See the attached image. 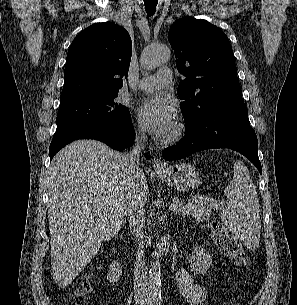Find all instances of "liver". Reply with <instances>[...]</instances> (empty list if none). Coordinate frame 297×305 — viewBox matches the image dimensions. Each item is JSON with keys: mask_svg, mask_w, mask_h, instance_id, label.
Here are the masks:
<instances>
[{"mask_svg": "<svg viewBox=\"0 0 297 305\" xmlns=\"http://www.w3.org/2000/svg\"><path fill=\"white\" fill-rule=\"evenodd\" d=\"M126 155L96 140H77L53 158L47 185L51 267L55 283L64 288L83 271L120 230L128 202L130 180ZM144 203L148 186L144 173L136 180Z\"/></svg>", "mask_w": 297, "mask_h": 305, "instance_id": "1", "label": "liver"}]
</instances>
